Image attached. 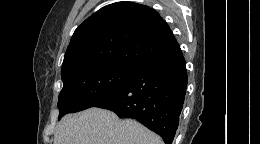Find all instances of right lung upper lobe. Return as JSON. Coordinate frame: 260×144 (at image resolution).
<instances>
[{"instance_id":"cb5924a9","label":"right lung upper lobe","mask_w":260,"mask_h":144,"mask_svg":"<svg viewBox=\"0 0 260 144\" xmlns=\"http://www.w3.org/2000/svg\"><path fill=\"white\" fill-rule=\"evenodd\" d=\"M178 48L171 29L155 10L117 2L98 10L75 30L61 74L102 64L134 69Z\"/></svg>"}]
</instances>
